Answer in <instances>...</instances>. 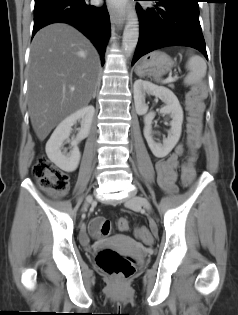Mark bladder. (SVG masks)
<instances>
[{
  "label": "bladder",
  "instance_id": "31cf9c89",
  "mask_svg": "<svg viewBox=\"0 0 238 315\" xmlns=\"http://www.w3.org/2000/svg\"><path fill=\"white\" fill-rule=\"evenodd\" d=\"M116 249H131V248H116Z\"/></svg>",
  "mask_w": 238,
  "mask_h": 315
}]
</instances>
